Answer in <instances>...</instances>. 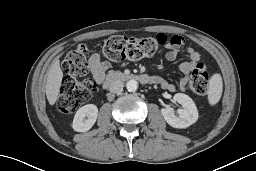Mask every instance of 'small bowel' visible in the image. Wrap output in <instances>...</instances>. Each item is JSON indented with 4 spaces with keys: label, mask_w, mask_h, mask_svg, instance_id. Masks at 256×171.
Listing matches in <instances>:
<instances>
[{
    "label": "small bowel",
    "mask_w": 256,
    "mask_h": 171,
    "mask_svg": "<svg viewBox=\"0 0 256 171\" xmlns=\"http://www.w3.org/2000/svg\"><path fill=\"white\" fill-rule=\"evenodd\" d=\"M183 46L184 39L181 36H173L167 44V52L165 54L166 60L174 61ZM186 53L188 55V60L182 62L179 65V68L184 74L187 75L198 64L200 60V54L192 47L186 48ZM88 64L95 82L101 84L104 81L107 70L111 67L110 62L102 61L99 53H93L89 57ZM152 78L153 82L159 84L165 90L173 91L175 89L174 84L159 76H154ZM185 83V80L181 82L182 88L185 86Z\"/></svg>",
    "instance_id": "c3829d8e"
}]
</instances>
